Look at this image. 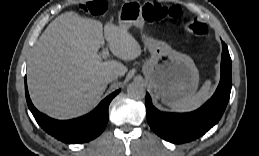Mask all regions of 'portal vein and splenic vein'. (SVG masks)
<instances>
[{
	"instance_id": "obj_1",
	"label": "portal vein and splenic vein",
	"mask_w": 259,
	"mask_h": 156,
	"mask_svg": "<svg viewBox=\"0 0 259 156\" xmlns=\"http://www.w3.org/2000/svg\"><path fill=\"white\" fill-rule=\"evenodd\" d=\"M108 55H109L108 50H103V51L101 52V56H102L103 59H106V58L108 57Z\"/></svg>"
}]
</instances>
